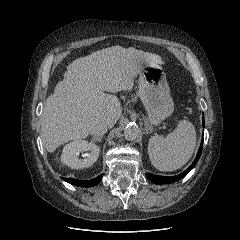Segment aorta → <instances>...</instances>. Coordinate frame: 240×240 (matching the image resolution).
<instances>
[{"label": "aorta", "mask_w": 240, "mask_h": 240, "mask_svg": "<svg viewBox=\"0 0 240 240\" xmlns=\"http://www.w3.org/2000/svg\"><path fill=\"white\" fill-rule=\"evenodd\" d=\"M140 130L139 127L135 124L128 125L124 129V137L126 140L133 141L139 137Z\"/></svg>", "instance_id": "aorta-1"}]
</instances>
